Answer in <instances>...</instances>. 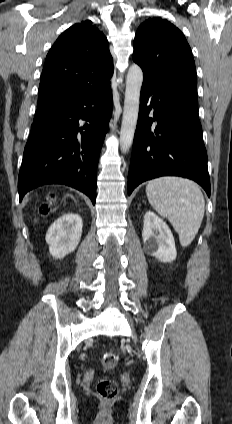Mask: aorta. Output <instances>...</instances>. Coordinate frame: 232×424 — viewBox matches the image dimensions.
I'll use <instances>...</instances> for the list:
<instances>
[{
    "label": "aorta",
    "instance_id": "762f6f07",
    "mask_svg": "<svg viewBox=\"0 0 232 424\" xmlns=\"http://www.w3.org/2000/svg\"><path fill=\"white\" fill-rule=\"evenodd\" d=\"M143 82V72L141 68L134 64L127 74L126 90L124 100V111L120 131V149L123 153L129 151L137 125L140 90Z\"/></svg>",
    "mask_w": 232,
    "mask_h": 424
}]
</instances>
